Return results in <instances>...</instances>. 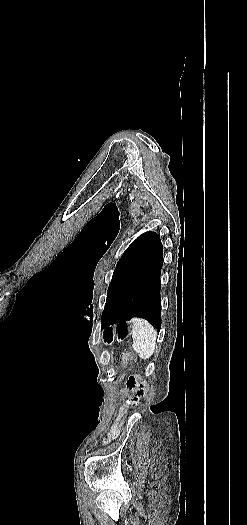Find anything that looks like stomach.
<instances>
[{"instance_id":"stomach-1","label":"stomach","mask_w":247,"mask_h":525,"mask_svg":"<svg viewBox=\"0 0 247 525\" xmlns=\"http://www.w3.org/2000/svg\"><path fill=\"white\" fill-rule=\"evenodd\" d=\"M132 328L131 324L114 325L104 331L103 338L105 342L111 343L112 340L116 341L118 338L123 339L130 333Z\"/></svg>"}]
</instances>
